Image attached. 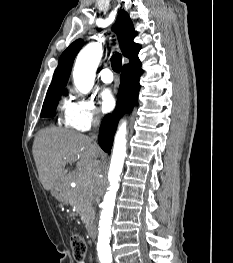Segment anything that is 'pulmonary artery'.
Instances as JSON below:
<instances>
[{
	"label": "pulmonary artery",
	"mask_w": 233,
	"mask_h": 263,
	"mask_svg": "<svg viewBox=\"0 0 233 263\" xmlns=\"http://www.w3.org/2000/svg\"><path fill=\"white\" fill-rule=\"evenodd\" d=\"M100 78L104 83H111L114 79L113 72L109 68H104L100 72Z\"/></svg>",
	"instance_id": "1"
}]
</instances>
